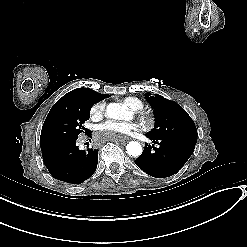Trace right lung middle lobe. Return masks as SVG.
Segmentation results:
<instances>
[{
  "label": "right lung middle lobe",
  "mask_w": 247,
  "mask_h": 247,
  "mask_svg": "<svg viewBox=\"0 0 247 247\" xmlns=\"http://www.w3.org/2000/svg\"><path fill=\"white\" fill-rule=\"evenodd\" d=\"M90 96L85 92L70 91L60 98L49 111L43 124L40 146L77 140L84 132V122L89 119L92 105ZM87 134L91 131L86 130Z\"/></svg>",
  "instance_id": "dd1d6c3e"
}]
</instances>
